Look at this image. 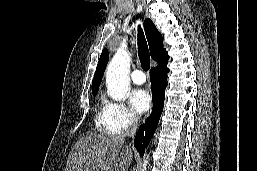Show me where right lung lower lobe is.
<instances>
[{
  "instance_id": "obj_1",
  "label": "right lung lower lobe",
  "mask_w": 257,
  "mask_h": 171,
  "mask_svg": "<svg viewBox=\"0 0 257 171\" xmlns=\"http://www.w3.org/2000/svg\"><path fill=\"white\" fill-rule=\"evenodd\" d=\"M166 65L167 62L160 63L157 67L152 68L150 72L154 108L145 124L140 126L134 140V146L141 156H143L145 148L156 130L158 120L163 111L167 73L169 72Z\"/></svg>"
}]
</instances>
